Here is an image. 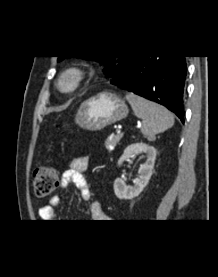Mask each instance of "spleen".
I'll use <instances>...</instances> for the list:
<instances>
[{
  "label": "spleen",
  "instance_id": "obj_1",
  "mask_svg": "<svg viewBox=\"0 0 218 277\" xmlns=\"http://www.w3.org/2000/svg\"><path fill=\"white\" fill-rule=\"evenodd\" d=\"M125 97L134 114L142 119L141 132L148 140H154L156 134L173 126L174 116L166 108L133 93H128Z\"/></svg>",
  "mask_w": 218,
  "mask_h": 277
}]
</instances>
